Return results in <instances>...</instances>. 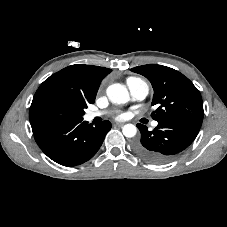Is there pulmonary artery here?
Masks as SVG:
<instances>
[{
  "label": "pulmonary artery",
  "mask_w": 227,
  "mask_h": 227,
  "mask_svg": "<svg viewBox=\"0 0 227 227\" xmlns=\"http://www.w3.org/2000/svg\"><path fill=\"white\" fill-rule=\"evenodd\" d=\"M127 86L131 97L134 100H143L149 92L148 85L141 79L133 78L127 80ZM102 112H88L86 114L87 120H92L95 117L101 116ZM157 122H153V126H157Z\"/></svg>",
  "instance_id": "e3ab8cb5"
}]
</instances>
